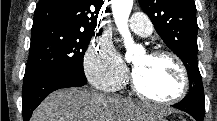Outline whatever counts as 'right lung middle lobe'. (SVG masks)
Returning a JSON list of instances; mask_svg holds the SVG:
<instances>
[{"label": "right lung middle lobe", "instance_id": "dd1d6c3e", "mask_svg": "<svg viewBox=\"0 0 217 121\" xmlns=\"http://www.w3.org/2000/svg\"><path fill=\"white\" fill-rule=\"evenodd\" d=\"M94 29L43 23L32 27L25 75L47 69H66L85 76L83 57Z\"/></svg>", "mask_w": 217, "mask_h": 121}]
</instances>
